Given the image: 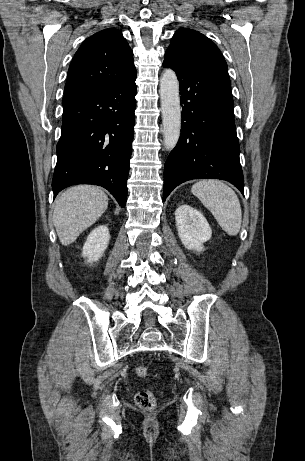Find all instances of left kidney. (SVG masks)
<instances>
[{"mask_svg":"<svg viewBox=\"0 0 305 461\" xmlns=\"http://www.w3.org/2000/svg\"><path fill=\"white\" fill-rule=\"evenodd\" d=\"M179 238L189 250L202 251L203 243L211 238L212 230L204 215L189 205H181L175 211Z\"/></svg>","mask_w":305,"mask_h":461,"instance_id":"5707ae66","label":"left kidney"}]
</instances>
